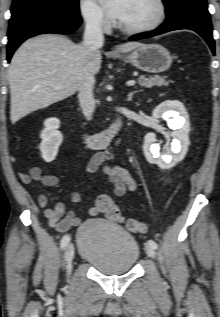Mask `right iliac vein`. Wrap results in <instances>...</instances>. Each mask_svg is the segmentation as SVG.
<instances>
[{"mask_svg":"<svg viewBox=\"0 0 220 317\" xmlns=\"http://www.w3.org/2000/svg\"><path fill=\"white\" fill-rule=\"evenodd\" d=\"M64 258H65V262H66L67 274L70 275L71 270H72V261L74 258V245L72 243H69L66 246Z\"/></svg>","mask_w":220,"mask_h":317,"instance_id":"right-iliac-vein-1","label":"right iliac vein"}]
</instances>
